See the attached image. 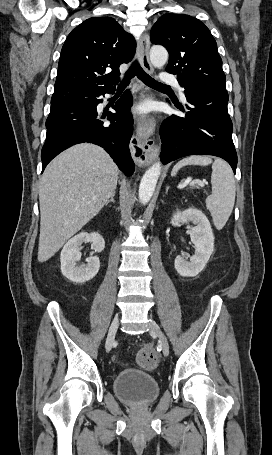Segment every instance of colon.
Returning <instances> with one entry per match:
<instances>
[{"instance_id":"5ec220e1","label":"colon","mask_w":272,"mask_h":455,"mask_svg":"<svg viewBox=\"0 0 272 455\" xmlns=\"http://www.w3.org/2000/svg\"><path fill=\"white\" fill-rule=\"evenodd\" d=\"M157 360L156 352L149 345L142 347L137 353V362L143 368H153L157 364Z\"/></svg>"}]
</instances>
